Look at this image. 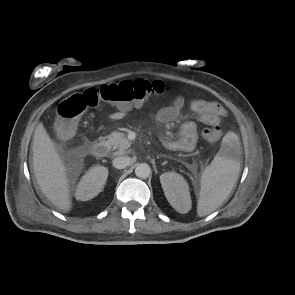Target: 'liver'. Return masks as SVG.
Listing matches in <instances>:
<instances>
[{
  "mask_svg": "<svg viewBox=\"0 0 295 295\" xmlns=\"http://www.w3.org/2000/svg\"><path fill=\"white\" fill-rule=\"evenodd\" d=\"M32 152L33 171L40 190L56 208L70 211L72 198L67 169L42 123L34 131Z\"/></svg>",
  "mask_w": 295,
  "mask_h": 295,
  "instance_id": "obj_1",
  "label": "liver"
}]
</instances>
